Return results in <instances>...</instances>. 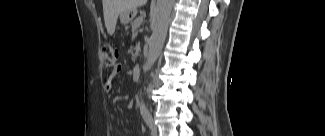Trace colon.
<instances>
[{"label":"colon","instance_id":"obj_1","mask_svg":"<svg viewBox=\"0 0 325 136\" xmlns=\"http://www.w3.org/2000/svg\"><path fill=\"white\" fill-rule=\"evenodd\" d=\"M102 53L104 62L109 67H114L118 59V50L111 44H104L102 46Z\"/></svg>","mask_w":325,"mask_h":136}]
</instances>
